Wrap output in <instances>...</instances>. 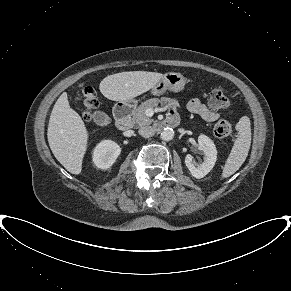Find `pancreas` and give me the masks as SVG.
<instances>
[{
	"mask_svg": "<svg viewBox=\"0 0 291 291\" xmlns=\"http://www.w3.org/2000/svg\"><path fill=\"white\" fill-rule=\"evenodd\" d=\"M159 103L161 105H167L174 103V100L168 97H161V99L152 98L143 102L133 113L131 119L132 125L144 126L151 124L153 119L147 117L145 111L149 108L157 107Z\"/></svg>",
	"mask_w": 291,
	"mask_h": 291,
	"instance_id": "cf45deb5",
	"label": "pancreas"
}]
</instances>
